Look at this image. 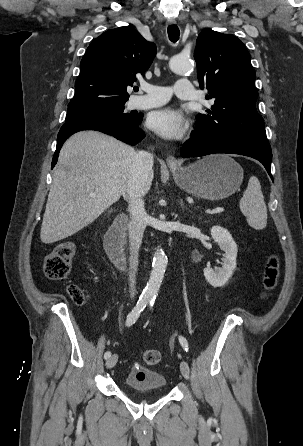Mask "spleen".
I'll list each match as a JSON object with an SVG mask.
<instances>
[{
	"label": "spleen",
	"instance_id": "1",
	"mask_svg": "<svg viewBox=\"0 0 303 446\" xmlns=\"http://www.w3.org/2000/svg\"><path fill=\"white\" fill-rule=\"evenodd\" d=\"M239 207L243 215L246 216L249 226L256 230L266 227L267 208L257 177H250L248 187L240 199Z\"/></svg>",
	"mask_w": 303,
	"mask_h": 446
}]
</instances>
